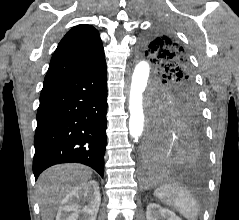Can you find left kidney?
I'll list each match as a JSON object with an SVG mask.
<instances>
[{
  "instance_id": "obj_1",
  "label": "left kidney",
  "mask_w": 239,
  "mask_h": 220,
  "mask_svg": "<svg viewBox=\"0 0 239 220\" xmlns=\"http://www.w3.org/2000/svg\"><path fill=\"white\" fill-rule=\"evenodd\" d=\"M147 220H181L175 213L168 209H164L156 203H150L146 211Z\"/></svg>"
}]
</instances>
